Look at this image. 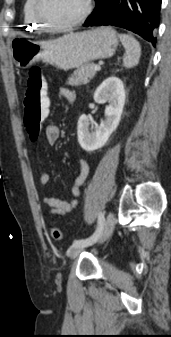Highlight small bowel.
<instances>
[{
  "instance_id": "obj_1",
  "label": "small bowel",
  "mask_w": 171,
  "mask_h": 337,
  "mask_svg": "<svg viewBox=\"0 0 171 337\" xmlns=\"http://www.w3.org/2000/svg\"><path fill=\"white\" fill-rule=\"evenodd\" d=\"M59 96L60 98L71 104H73L77 99L76 93L73 90L65 87L60 88ZM46 109H49V107H47ZM45 135L47 142L50 145H54L60 139L61 130L57 125L51 124L46 127ZM89 172L90 166L88 162L85 159H80L79 173L75 178L71 188L72 198L68 201L52 196H44L42 198V202L47 206V212L49 215L64 216L68 213L73 212L77 208L79 204V197L81 194V187L85 183ZM39 181L43 186L48 185L50 182V176L47 173H42L39 177Z\"/></svg>"
}]
</instances>
